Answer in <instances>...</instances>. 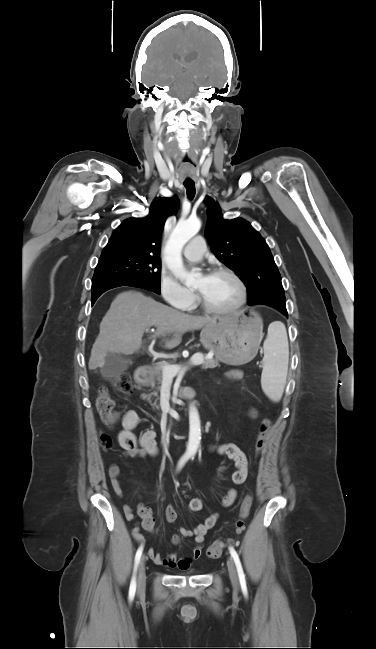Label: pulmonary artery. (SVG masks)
Segmentation results:
<instances>
[{
  "label": "pulmonary artery",
  "instance_id": "obj_1",
  "mask_svg": "<svg viewBox=\"0 0 376 649\" xmlns=\"http://www.w3.org/2000/svg\"><path fill=\"white\" fill-rule=\"evenodd\" d=\"M206 250L205 241L202 236H195L185 246L183 253L190 260H199Z\"/></svg>",
  "mask_w": 376,
  "mask_h": 649
}]
</instances>
